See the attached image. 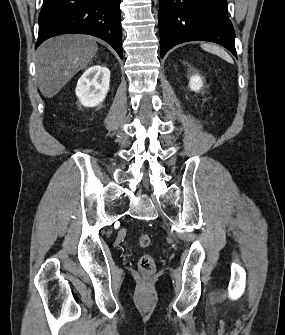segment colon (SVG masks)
I'll return each instance as SVG.
<instances>
[{"instance_id":"1","label":"colon","mask_w":285,"mask_h":335,"mask_svg":"<svg viewBox=\"0 0 285 335\" xmlns=\"http://www.w3.org/2000/svg\"><path fill=\"white\" fill-rule=\"evenodd\" d=\"M151 243L150 236L146 233H142L138 236V244L141 247H147ZM156 268L155 260L152 255L145 254L139 260V269L144 275H151L154 273Z\"/></svg>"}]
</instances>
